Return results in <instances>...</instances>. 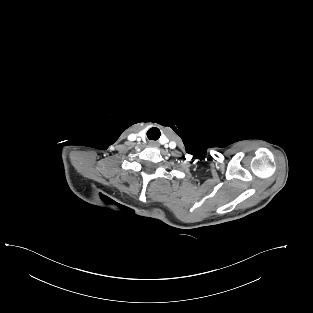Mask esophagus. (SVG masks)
I'll return each instance as SVG.
<instances>
[{
	"label": "esophagus",
	"mask_w": 313,
	"mask_h": 313,
	"mask_svg": "<svg viewBox=\"0 0 313 313\" xmlns=\"http://www.w3.org/2000/svg\"><path fill=\"white\" fill-rule=\"evenodd\" d=\"M149 144H150L151 146H156V145H157V142H155V141H149Z\"/></svg>",
	"instance_id": "obj_1"
}]
</instances>
